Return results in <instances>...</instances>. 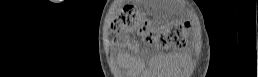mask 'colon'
Returning <instances> with one entry per match:
<instances>
[{
  "label": "colon",
  "mask_w": 258,
  "mask_h": 77,
  "mask_svg": "<svg viewBox=\"0 0 258 77\" xmlns=\"http://www.w3.org/2000/svg\"><path fill=\"white\" fill-rule=\"evenodd\" d=\"M112 29L120 32L123 29H136L143 36L147 43H159L167 47L178 45L182 41V35L186 24H173L165 28L162 32L156 33L147 19L141 18L132 8H124L112 22Z\"/></svg>",
  "instance_id": "colon-1"
}]
</instances>
